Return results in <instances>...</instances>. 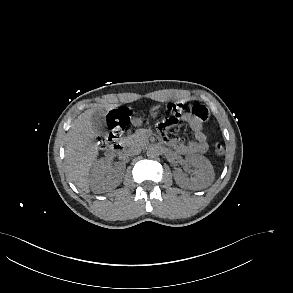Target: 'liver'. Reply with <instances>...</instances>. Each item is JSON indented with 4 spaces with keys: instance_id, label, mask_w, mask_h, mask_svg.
<instances>
[{
    "instance_id": "1",
    "label": "liver",
    "mask_w": 293,
    "mask_h": 293,
    "mask_svg": "<svg viewBox=\"0 0 293 293\" xmlns=\"http://www.w3.org/2000/svg\"><path fill=\"white\" fill-rule=\"evenodd\" d=\"M109 110L110 107L107 106ZM96 108L85 110L72 123L66 136V168L70 180L82 191L89 192L88 175L99 152L97 134L91 116Z\"/></svg>"
}]
</instances>
